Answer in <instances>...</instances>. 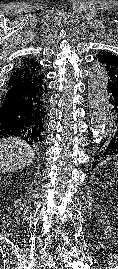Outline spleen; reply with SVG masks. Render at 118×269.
Segmentation results:
<instances>
[{
  "instance_id": "obj_1",
  "label": "spleen",
  "mask_w": 118,
  "mask_h": 269,
  "mask_svg": "<svg viewBox=\"0 0 118 269\" xmlns=\"http://www.w3.org/2000/svg\"><path fill=\"white\" fill-rule=\"evenodd\" d=\"M116 167H117V171H118V159H117V162H116Z\"/></svg>"
}]
</instances>
